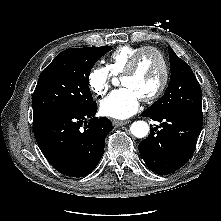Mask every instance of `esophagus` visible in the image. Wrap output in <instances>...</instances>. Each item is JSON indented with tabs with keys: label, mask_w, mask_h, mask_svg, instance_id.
Masks as SVG:
<instances>
[{
	"label": "esophagus",
	"mask_w": 221,
	"mask_h": 221,
	"mask_svg": "<svg viewBox=\"0 0 221 221\" xmlns=\"http://www.w3.org/2000/svg\"><path fill=\"white\" fill-rule=\"evenodd\" d=\"M127 123H129V120H124V121L114 120V121H113V125H114L115 127H119V126L125 125V124H127Z\"/></svg>",
	"instance_id": "34e87169"
}]
</instances>
